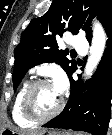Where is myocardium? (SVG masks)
Returning <instances> with one entry per match:
<instances>
[{
  "label": "myocardium",
  "mask_w": 112,
  "mask_h": 135,
  "mask_svg": "<svg viewBox=\"0 0 112 135\" xmlns=\"http://www.w3.org/2000/svg\"><path fill=\"white\" fill-rule=\"evenodd\" d=\"M51 84L50 81L47 79H38L30 83V85L25 90L23 97H22V111L26 118L34 122H43L50 120L56 117L64 108V98H60V102L58 106L50 113L47 114H40L34 108L32 97L35 90L42 86V85H49Z\"/></svg>",
  "instance_id": "f54148a6"
}]
</instances>
